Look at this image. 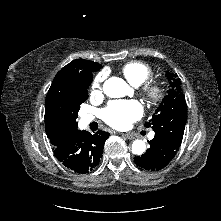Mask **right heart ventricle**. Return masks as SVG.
Segmentation results:
<instances>
[{
	"mask_svg": "<svg viewBox=\"0 0 221 221\" xmlns=\"http://www.w3.org/2000/svg\"><path fill=\"white\" fill-rule=\"evenodd\" d=\"M126 79L134 86H139L147 81L153 74L152 69L142 62H129L122 68Z\"/></svg>",
	"mask_w": 221,
	"mask_h": 221,
	"instance_id": "1",
	"label": "right heart ventricle"
}]
</instances>
